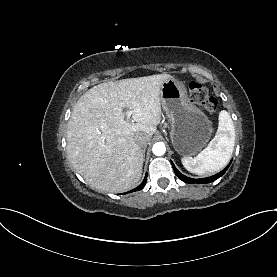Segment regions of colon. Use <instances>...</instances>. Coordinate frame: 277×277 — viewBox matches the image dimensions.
I'll use <instances>...</instances> for the list:
<instances>
[{
    "label": "colon",
    "instance_id": "1",
    "mask_svg": "<svg viewBox=\"0 0 277 277\" xmlns=\"http://www.w3.org/2000/svg\"><path fill=\"white\" fill-rule=\"evenodd\" d=\"M189 95L193 103L201 106L208 112H214L217 108V100L210 96L206 87L197 81L189 83Z\"/></svg>",
    "mask_w": 277,
    "mask_h": 277
}]
</instances>
